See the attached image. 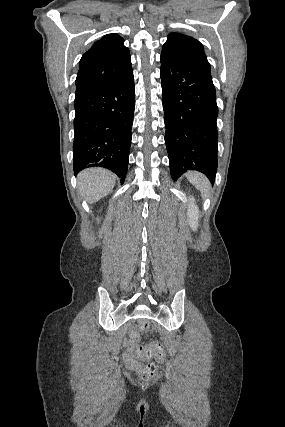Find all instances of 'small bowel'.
<instances>
[{"instance_id": "obj_1", "label": "small bowel", "mask_w": 285, "mask_h": 427, "mask_svg": "<svg viewBox=\"0 0 285 427\" xmlns=\"http://www.w3.org/2000/svg\"><path fill=\"white\" fill-rule=\"evenodd\" d=\"M131 351H132V345L127 347L126 352L123 354V360L127 366H129L130 368H135V360L131 355Z\"/></svg>"}]
</instances>
